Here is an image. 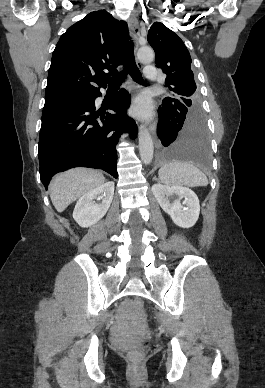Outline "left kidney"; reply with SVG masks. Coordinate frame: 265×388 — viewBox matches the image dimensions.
I'll return each instance as SVG.
<instances>
[{"mask_svg": "<svg viewBox=\"0 0 265 388\" xmlns=\"http://www.w3.org/2000/svg\"><path fill=\"white\" fill-rule=\"evenodd\" d=\"M152 192L159 206L171 216L176 226L192 228L196 224L200 214V206L199 200L192 190L181 188V186L154 184ZM181 200H183L182 204Z\"/></svg>", "mask_w": 265, "mask_h": 388, "instance_id": "obj_1", "label": "left kidney"}]
</instances>
